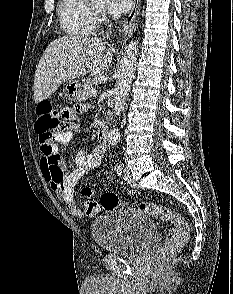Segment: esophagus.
Here are the masks:
<instances>
[{
  "mask_svg": "<svg viewBox=\"0 0 233 294\" xmlns=\"http://www.w3.org/2000/svg\"><path fill=\"white\" fill-rule=\"evenodd\" d=\"M140 6H141V0H134L133 7L123 25L122 38L124 40H126V38L129 37L133 32L135 22H136V17L138 16L140 11Z\"/></svg>",
  "mask_w": 233,
  "mask_h": 294,
  "instance_id": "1",
  "label": "esophagus"
}]
</instances>
